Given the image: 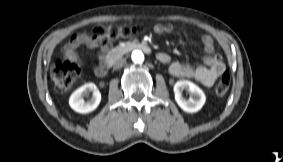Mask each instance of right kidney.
Segmentation results:
<instances>
[{
    "label": "right kidney",
    "instance_id": "right-kidney-1",
    "mask_svg": "<svg viewBox=\"0 0 283 162\" xmlns=\"http://www.w3.org/2000/svg\"><path fill=\"white\" fill-rule=\"evenodd\" d=\"M92 92V97L85 102L84 97ZM101 101V93L94 83H87L72 93L69 99L70 107L82 114H86L95 110Z\"/></svg>",
    "mask_w": 283,
    "mask_h": 162
}]
</instances>
